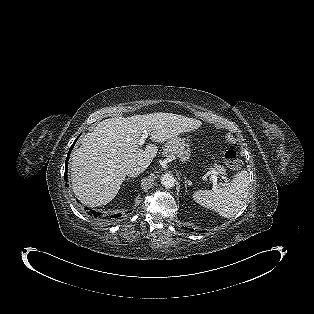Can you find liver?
I'll return each mask as SVG.
<instances>
[{"label":"liver","instance_id":"6515ba94","mask_svg":"<svg viewBox=\"0 0 314 314\" xmlns=\"http://www.w3.org/2000/svg\"><path fill=\"white\" fill-rule=\"evenodd\" d=\"M201 126L199 120L173 113H151L103 120L84 135L71 156V183L75 196L90 207L106 205L117 195L126 178L125 169L139 164L144 170L158 148L139 147L144 131L153 142L164 143Z\"/></svg>","mask_w":314,"mask_h":314}]
</instances>
